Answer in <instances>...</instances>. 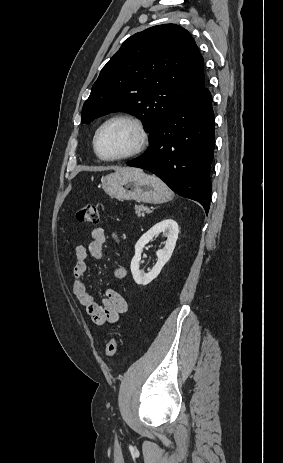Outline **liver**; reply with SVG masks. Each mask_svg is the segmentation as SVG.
Masks as SVG:
<instances>
[{
    "mask_svg": "<svg viewBox=\"0 0 283 463\" xmlns=\"http://www.w3.org/2000/svg\"><path fill=\"white\" fill-rule=\"evenodd\" d=\"M126 169H119L118 171L121 172V171H125Z\"/></svg>",
    "mask_w": 283,
    "mask_h": 463,
    "instance_id": "liver-1",
    "label": "liver"
}]
</instances>
